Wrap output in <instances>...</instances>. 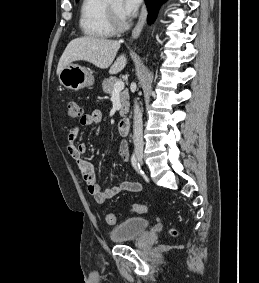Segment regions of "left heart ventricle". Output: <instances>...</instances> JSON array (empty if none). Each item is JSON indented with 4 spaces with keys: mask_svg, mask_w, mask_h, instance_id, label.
Masks as SVG:
<instances>
[{
    "mask_svg": "<svg viewBox=\"0 0 259 283\" xmlns=\"http://www.w3.org/2000/svg\"><path fill=\"white\" fill-rule=\"evenodd\" d=\"M110 4L117 9L118 11L121 10V1L120 0H112ZM121 12V11H120Z\"/></svg>",
    "mask_w": 259,
    "mask_h": 283,
    "instance_id": "left-heart-ventricle-1",
    "label": "left heart ventricle"
}]
</instances>
